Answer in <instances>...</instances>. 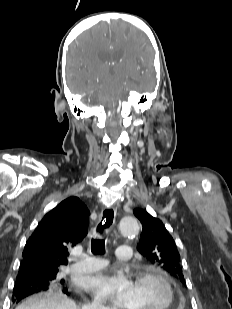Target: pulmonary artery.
Returning <instances> with one entry per match:
<instances>
[{
  "instance_id": "obj_1",
  "label": "pulmonary artery",
  "mask_w": 232,
  "mask_h": 309,
  "mask_svg": "<svg viewBox=\"0 0 232 309\" xmlns=\"http://www.w3.org/2000/svg\"><path fill=\"white\" fill-rule=\"evenodd\" d=\"M115 254L119 260L129 261L132 259L133 251L130 246H119L116 248ZM106 265L107 261L105 259L87 257L72 264L70 270L74 273L84 274L100 270Z\"/></svg>"
}]
</instances>
